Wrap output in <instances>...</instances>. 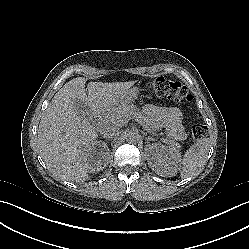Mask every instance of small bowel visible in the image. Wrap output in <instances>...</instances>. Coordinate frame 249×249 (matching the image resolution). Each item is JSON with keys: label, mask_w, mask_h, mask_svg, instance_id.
I'll return each mask as SVG.
<instances>
[{"label": "small bowel", "mask_w": 249, "mask_h": 249, "mask_svg": "<svg viewBox=\"0 0 249 249\" xmlns=\"http://www.w3.org/2000/svg\"><path fill=\"white\" fill-rule=\"evenodd\" d=\"M145 112L157 120L164 122L167 125L169 132L175 136H183L184 133L179 126L177 118L173 116L171 109L162 104H148L145 107Z\"/></svg>", "instance_id": "small-bowel-1"}]
</instances>
